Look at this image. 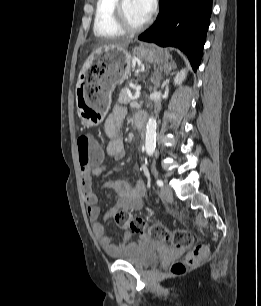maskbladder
Segmentation results:
<instances>
[{"mask_svg": "<svg viewBox=\"0 0 261 306\" xmlns=\"http://www.w3.org/2000/svg\"><path fill=\"white\" fill-rule=\"evenodd\" d=\"M114 257L137 268H146L158 261L156 244L149 239L138 241L128 251L117 254Z\"/></svg>", "mask_w": 261, "mask_h": 306, "instance_id": "bladder-1", "label": "bladder"}]
</instances>
